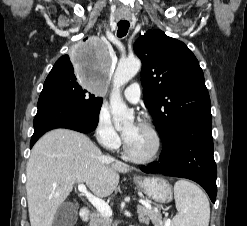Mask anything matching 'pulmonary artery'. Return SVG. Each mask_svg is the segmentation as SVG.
Returning <instances> with one entry per match:
<instances>
[{
  "instance_id": "e3ab8cb5",
  "label": "pulmonary artery",
  "mask_w": 247,
  "mask_h": 226,
  "mask_svg": "<svg viewBox=\"0 0 247 226\" xmlns=\"http://www.w3.org/2000/svg\"><path fill=\"white\" fill-rule=\"evenodd\" d=\"M124 97L130 103L136 104L140 101L141 90L138 83H132L124 89Z\"/></svg>"
}]
</instances>
